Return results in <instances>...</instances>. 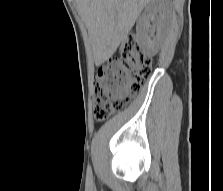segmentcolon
I'll return each instance as SVG.
<instances>
[{
  "label": "colon",
  "mask_w": 223,
  "mask_h": 191,
  "mask_svg": "<svg viewBox=\"0 0 223 191\" xmlns=\"http://www.w3.org/2000/svg\"><path fill=\"white\" fill-rule=\"evenodd\" d=\"M120 57L103 66L94 82V117L104 121L122 109L141 90L152 70V57L133 37L121 46Z\"/></svg>",
  "instance_id": "5ec220e1"
}]
</instances>
